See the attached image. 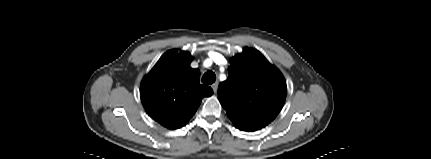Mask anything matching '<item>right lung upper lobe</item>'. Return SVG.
<instances>
[{"mask_svg": "<svg viewBox=\"0 0 431 159\" xmlns=\"http://www.w3.org/2000/svg\"><path fill=\"white\" fill-rule=\"evenodd\" d=\"M188 52L169 50L142 80L140 95L151 118L170 129L184 126L210 96V87L199 83L200 72L192 69Z\"/></svg>", "mask_w": 431, "mask_h": 159, "instance_id": "obj_1", "label": "right lung upper lobe"}]
</instances>
